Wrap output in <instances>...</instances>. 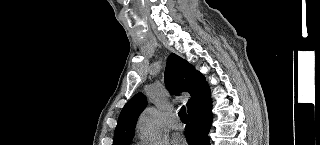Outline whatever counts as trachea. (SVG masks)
<instances>
[{
	"mask_svg": "<svg viewBox=\"0 0 320 145\" xmlns=\"http://www.w3.org/2000/svg\"><path fill=\"white\" fill-rule=\"evenodd\" d=\"M178 115H179L181 121H188L186 109L184 106L181 107L180 111L178 112Z\"/></svg>",
	"mask_w": 320,
	"mask_h": 145,
	"instance_id": "1",
	"label": "trachea"
}]
</instances>
